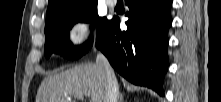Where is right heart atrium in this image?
<instances>
[{
    "instance_id": "obj_1",
    "label": "right heart atrium",
    "mask_w": 221,
    "mask_h": 102,
    "mask_svg": "<svg viewBox=\"0 0 221 102\" xmlns=\"http://www.w3.org/2000/svg\"><path fill=\"white\" fill-rule=\"evenodd\" d=\"M92 36V22L90 19L80 16L74 18L67 32L70 47L75 51L84 49L90 42Z\"/></svg>"
}]
</instances>
